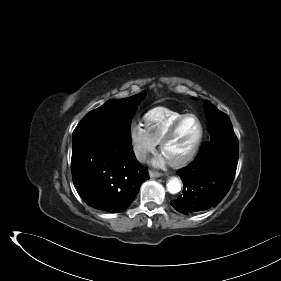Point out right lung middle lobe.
<instances>
[{
  "label": "right lung middle lobe",
  "instance_id": "right-lung-middle-lobe-1",
  "mask_svg": "<svg viewBox=\"0 0 281 281\" xmlns=\"http://www.w3.org/2000/svg\"><path fill=\"white\" fill-rule=\"evenodd\" d=\"M145 94L109 100L89 112L77 125L72 136V150L114 142L131 144V119Z\"/></svg>",
  "mask_w": 281,
  "mask_h": 281
}]
</instances>
